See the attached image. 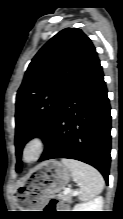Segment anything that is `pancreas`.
Segmentation results:
<instances>
[{"instance_id":"obj_1","label":"pancreas","mask_w":123,"mask_h":219,"mask_svg":"<svg viewBox=\"0 0 123 219\" xmlns=\"http://www.w3.org/2000/svg\"><path fill=\"white\" fill-rule=\"evenodd\" d=\"M58 197H59L61 200L66 201V202H71V200H72L71 195L59 194Z\"/></svg>"}]
</instances>
